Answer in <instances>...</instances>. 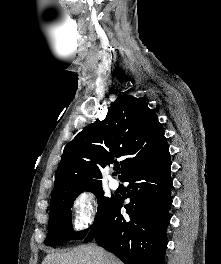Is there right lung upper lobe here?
<instances>
[{"mask_svg": "<svg viewBox=\"0 0 221 264\" xmlns=\"http://www.w3.org/2000/svg\"><path fill=\"white\" fill-rule=\"evenodd\" d=\"M169 152L164 129L145 100L121 95L103 121L85 127L64 148L55 175L51 203L102 186V173L117 158L120 179L149 166Z\"/></svg>", "mask_w": 221, "mask_h": 264, "instance_id": "obj_1", "label": "right lung upper lobe"}]
</instances>
